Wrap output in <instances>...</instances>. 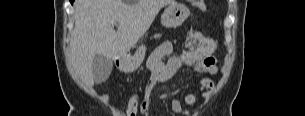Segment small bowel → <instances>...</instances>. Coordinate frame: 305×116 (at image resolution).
Segmentation results:
<instances>
[{
	"label": "small bowel",
	"instance_id": "small-bowel-1",
	"mask_svg": "<svg viewBox=\"0 0 305 116\" xmlns=\"http://www.w3.org/2000/svg\"><path fill=\"white\" fill-rule=\"evenodd\" d=\"M214 50L215 44L208 40H199L193 48L185 50L180 54H174L171 42H164L158 46L147 61L151 75L144 87L140 107L142 115L148 116L150 95L155 85L170 80L182 66H191L198 73L215 74L217 72V65ZM214 86V81L210 78H202L199 81L200 89L206 93L211 92ZM184 102L192 106L196 103V96L193 93H187L184 96ZM170 106L175 114L186 115L179 99H173Z\"/></svg>",
	"mask_w": 305,
	"mask_h": 116
}]
</instances>
